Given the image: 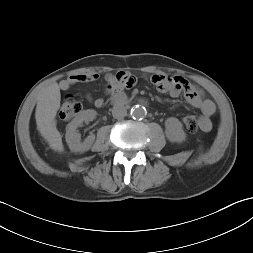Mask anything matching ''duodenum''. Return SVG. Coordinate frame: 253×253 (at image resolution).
Listing matches in <instances>:
<instances>
[{
    "label": "duodenum",
    "mask_w": 253,
    "mask_h": 253,
    "mask_svg": "<svg viewBox=\"0 0 253 253\" xmlns=\"http://www.w3.org/2000/svg\"><path fill=\"white\" fill-rule=\"evenodd\" d=\"M111 100L115 104H125L129 101L127 96L121 90L112 91Z\"/></svg>",
    "instance_id": "410a0bca"
}]
</instances>
